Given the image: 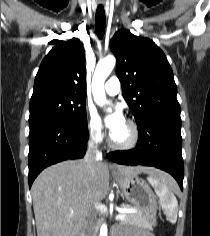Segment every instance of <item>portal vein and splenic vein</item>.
I'll use <instances>...</instances> for the list:
<instances>
[{"label": "portal vein and splenic vein", "instance_id": "portal-vein-and-splenic-vein-1", "mask_svg": "<svg viewBox=\"0 0 210 236\" xmlns=\"http://www.w3.org/2000/svg\"><path fill=\"white\" fill-rule=\"evenodd\" d=\"M127 211H129V210L125 209V210H123L121 213L117 214V215H116V219H118V220H123V219L125 218V213H126Z\"/></svg>", "mask_w": 210, "mask_h": 236}]
</instances>
